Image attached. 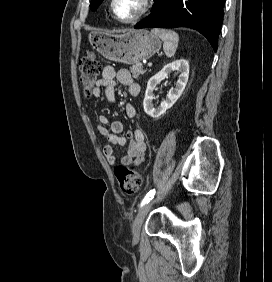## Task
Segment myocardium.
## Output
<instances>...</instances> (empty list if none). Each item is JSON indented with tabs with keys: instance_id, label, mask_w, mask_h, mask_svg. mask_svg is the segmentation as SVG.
<instances>
[{
	"instance_id": "myocardium-1",
	"label": "myocardium",
	"mask_w": 272,
	"mask_h": 282,
	"mask_svg": "<svg viewBox=\"0 0 272 282\" xmlns=\"http://www.w3.org/2000/svg\"><path fill=\"white\" fill-rule=\"evenodd\" d=\"M116 2H117V0H111V2H110L111 12H112L114 18L117 21L122 22V23H127V24L134 23V22L138 21L139 19H141L142 17H144L149 12V10H150V8L152 7V4H153V0H143V8L140 12H138L135 16H133L131 18L122 19L116 13V10H115Z\"/></svg>"
}]
</instances>
